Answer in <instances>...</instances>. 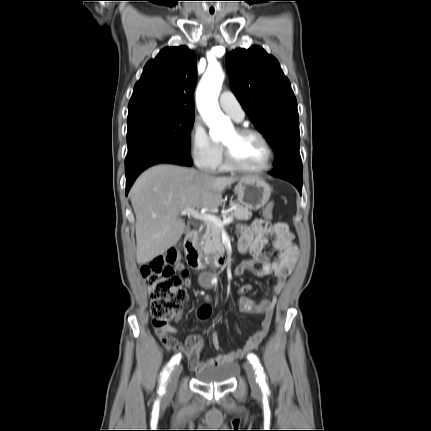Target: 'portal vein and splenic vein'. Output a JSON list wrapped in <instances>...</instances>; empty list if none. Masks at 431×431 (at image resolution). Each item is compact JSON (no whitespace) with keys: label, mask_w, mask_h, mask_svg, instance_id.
<instances>
[{"label":"portal vein and splenic vein","mask_w":431,"mask_h":431,"mask_svg":"<svg viewBox=\"0 0 431 431\" xmlns=\"http://www.w3.org/2000/svg\"><path fill=\"white\" fill-rule=\"evenodd\" d=\"M180 215L181 216L188 215V216H191L195 219L212 222L213 224H215L219 228H222L226 224H229L233 221V217H227V218H224L223 220H221L220 218H218L215 215L200 213V212L196 211L194 208H186L180 212Z\"/></svg>","instance_id":"portal-vein-and-splenic-vein-1"}]
</instances>
